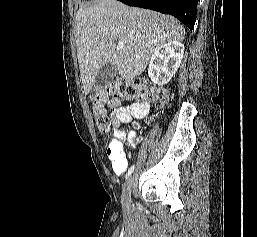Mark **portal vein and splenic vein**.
<instances>
[{
  "mask_svg": "<svg viewBox=\"0 0 257 237\" xmlns=\"http://www.w3.org/2000/svg\"><path fill=\"white\" fill-rule=\"evenodd\" d=\"M124 46H125V45H124L123 42H121V41L118 42V45H117L118 49H123Z\"/></svg>",
  "mask_w": 257,
  "mask_h": 237,
  "instance_id": "1",
  "label": "portal vein and splenic vein"
}]
</instances>
